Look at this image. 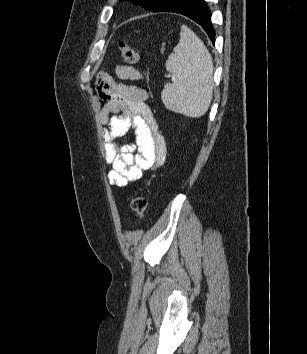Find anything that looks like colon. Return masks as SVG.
Segmentation results:
<instances>
[{
	"label": "colon",
	"mask_w": 307,
	"mask_h": 354,
	"mask_svg": "<svg viewBox=\"0 0 307 354\" xmlns=\"http://www.w3.org/2000/svg\"><path fill=\"white\" fill-rule=\"evenodd\" d=\"M119 49L122 59L129 65H135L139 60L138 52L127 42L121 41ZM132 210L140 218H143L147 210V199L143 194H139L131 202Z\"/></svg>",
	"instance_id": "colon-1"
}]
</instances>
